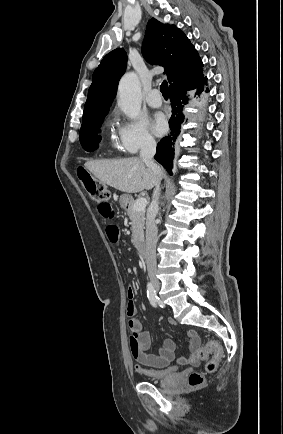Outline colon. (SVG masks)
Here are the masks:
<instances>
[{"instance_id": "obj_1", "label": "colon", "mask_w": 283, "mask_h": 434, "mask_svg": "<svg viewBox=\"0 0 283 434\" xmlns=\"http://www.w3.org/2000/svg\"><path fill=\"white\" fill-rule=\"evenodd\" d=\"M78 176L88 195L98 203L109 202L110 191L106 185L93 178L90 173L81 168L78 170ZM221 356V348L216 341H208L204 346L197 350V357L200 360H208L206 370L213 372L217 368L218 360ZM204 383V375L199 372H193L188 377V384L193 387H199Z\"/></svg>"}]
</instances>
